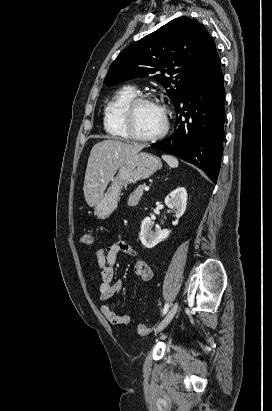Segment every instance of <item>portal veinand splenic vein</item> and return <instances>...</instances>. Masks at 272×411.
I'll return each mask as SVG.
<instances>
[{
    "label": "portal vein and splenic vein",
    "mask_w": 272,
    "mask_h": 411,
    "mask_svg": "<svg viewBox=\"0 0 272 411\" xmlns=\"http://www.w3.org/2000/svg\"><path fill=\"white\" fill-rule=\"evenodd\" d=\"M145 191H149V186H145Z\"/></svg>",
    "instance_id": "obj_1"
}]
</instances>
